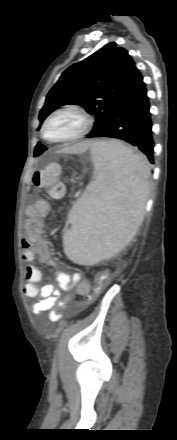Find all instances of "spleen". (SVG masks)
<instances>
[{
  "label": "spleen",
  "instance_id": "spleen-1",
  "mask_svg": "<svg viewBox=\"0 0 177 440\" xmlns=\"http://www.w3.org/2000/svg\"><path fill=\"white\" fill-rule=\"evenodd\" d=\"M94 177L69 212L63 235L67 257L93 265L121 251L134 237L144 218L147 159L116 141L92 147Z\"/></svg>",
  "mask_w": 177,
  "mask_h": 440
}]
</instances>
